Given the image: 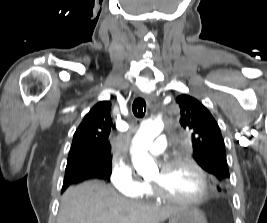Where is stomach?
<instances>
[{
	"label": "stomach",
	"instance_id": "1",
	"mask_svg": "<svg viewBox=\"0 0 267 223\" xmlns=\"http://www.w3.org/2000/svg\"><path fill=\"white\" fill-rule=\"evenodd\" d=\"M168 223H207L204 213L191 206H181L179 211L169 218Z\"/></svg>",
	"mask_w": 267,
	"mask_h": 223
}]
</instances>
